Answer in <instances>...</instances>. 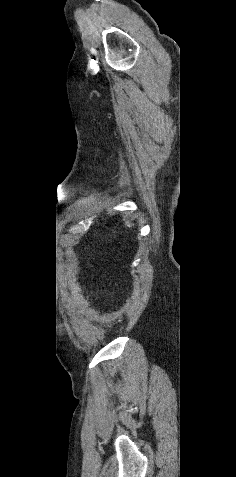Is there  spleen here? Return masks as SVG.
Segmentation results:
<instances>
[{"instance_id":"spleen-1","label":"spleen","mask_w":236,"mask_h":477,"mask_svg":"<svg viewBox=\"0 0 236 477\" xmlns=\"http://www.w3.org/2000/svg\"><path fill=\"white\" fill-rule=\"evenodd\" d=\"M125 225H126L128 228H131L132 226H134V224L130 223L129 220H126V221H125Z\"/></svg>"}]
</instances>
